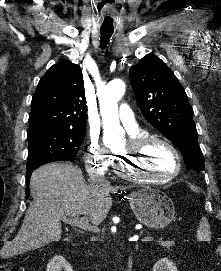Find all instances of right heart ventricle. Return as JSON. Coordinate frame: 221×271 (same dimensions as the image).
I'll use <instances>...</instances> for the list:
<instances>
[{
	"mask_svg": "<svg viewBox=\"0 0 221 271\" xmlns=\"http://www.w3.org/2000/svg\"><path fill=\"white\" fill-rule=\"evenodd\" d=\"M140 135L139 133L132 135L128 144H135ZM142 183H171V178H142Z\"/></svg>",
	"mask_w": 221,
	"mask_h": 271,
	"instance_id": "obj_1",
	"label": "right heart ventricle"
}]
</instances>
